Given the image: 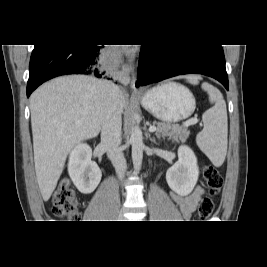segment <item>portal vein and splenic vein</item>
Segmentation results:
<instances>
[{"mask_svg": "<svg viewBox=\"0 0 267 267\" xmlns=\"http://www.w3.org/2000/svg\"><path fill=\"white\" fill-rule=\"evenodd\" d=\"M197 122H198V120H197L196 118H194V119H190V120L186 121V122L183 124V126L188 127V126H190V125H194V124H196ZM156 130H157L156 126H150V127H149V132H155Z\"/></svg>", "mask_w": 267, "mask_h": 267, "instance_id": "18ae733b", "label": "portal vein and splenic vein"}]
</instances>
